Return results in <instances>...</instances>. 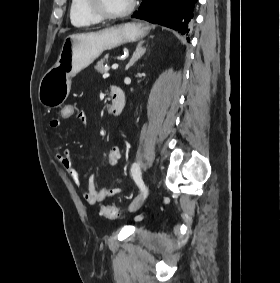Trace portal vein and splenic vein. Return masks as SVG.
<instances>
[{"instance_id": "portal-vein-and-splenic-vein-1", "label": "portal vein and splenic vein", "mask_w": 280, "mask_h": 283, "mask_svg": "<svg viewBox=\"0 0 280 283\" xmlns=\"http://www.w3.org/2000/svg\"><path fill=\"white\" fill-rule=\"evenodd\" d=\"M111 68H112L113 70H116V69L118 68V63H114V64L111 66Z\"/></svg>"}]
</instances>
